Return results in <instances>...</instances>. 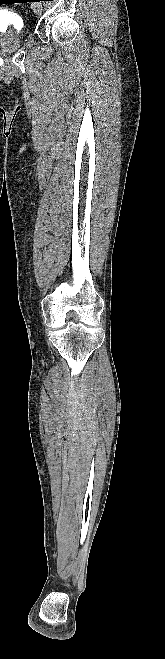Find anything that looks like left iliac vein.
I'll return each instance as SVG.
<instances>
[{
	"instance_id": "4c4485c4",
	"label": "left iliac vein",
	"mask_w": 165,
	"mask_h": 659,
	"mask_svg": "<svg viewBox=\"0 0 165 659\" xmlns=\"http://www.w3.org/2000/svg\"><path fill=\"white\" fill-rule=\"evenodd\" d=\"M33 11L37 14H40L42 12L41 5L39 3L33 4Z\"/></svg>"
}]
</instances>
